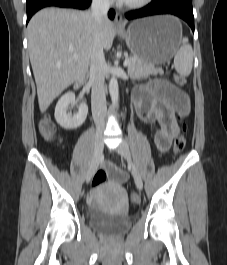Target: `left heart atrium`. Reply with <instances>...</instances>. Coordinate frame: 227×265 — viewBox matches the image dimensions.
<instances>
[{"label": "left heart atrium", "instance_id": "39dd6f15", "mask_svg": "<svg viewBox=\"0 0 227 265\" xmlns=\"http://www.w3.org/2000/svg\"><path fill=\"white\" fill-rule=\"evenodd\" d=\"M118 1H120V2H124L125 0H118Z\"/></svg>", "mask_w": 227, "mask_h": 265}]
</instances>
